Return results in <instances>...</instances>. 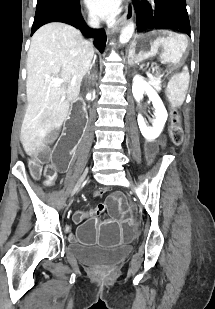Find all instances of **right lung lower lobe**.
<instances>
[{
    "instance_id": "right-lung-lower-lobe-1",
    "label": "right lung lower lobe",
    "mask_w": 215,
    "mask_h": 309,
    "mask_svg": "<svg viewBox=\"0 0 215 309\" xmlns=\"http://www.w3.org/2000/svg\"><path fill=\"white\" fill-rule=\"evenodd\" d=\"M49 22H64L70 24L76 28H80V30L86 36H92L95 38L94 44L99 49L100 52H103L106 43V35L103 29H90L85 24L83 18L80 15V11L76 14H66V13H58L48 15L42 18H38L34 20L35 25L32 26V34L42 25ZM33 23V24H34Z\"/></svg>"
}]
</instances>
